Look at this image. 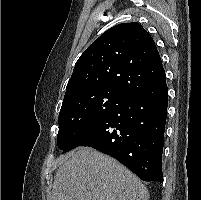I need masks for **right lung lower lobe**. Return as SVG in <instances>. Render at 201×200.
Returning a JSON list of instances; mask_svg holds the SVG:
<instances>
[{"instance_id":"1","label":"right lung lower lobe","mask_w":201,"mask_h":200,"mask_svg":"<svg viewBox=\"0 0 201 200\" xmlns=\"http://www.w3.org/2000/svg\"><path fill=\"white\" fill-rule=\"evenodd\" d=\"M166 77L134 93L80 132L63 150L93 147L116 158L140 179L163 183L162 153L167 117Z\"/></svg>"}]
</instances>
